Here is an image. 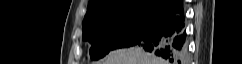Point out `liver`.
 Returning a JSON list of instances; mask_svg holds the SVG:
<instances>
[{
  "instance_id": "liver-1",
  "label": "liver",
  "mask_w": 242,
  "mask_h": 64,
  "mask_svg": "<svg viewBox=\"0 0 242 64\" xmlns=\"http://www.w3.org/2000/svg\"><path fill=\"white\" fill-rule=\"evenodd\" d=\"M95 64H164V61L138 47H132L112 51L104 60Z\"/></svg>"
}]
</instances>
